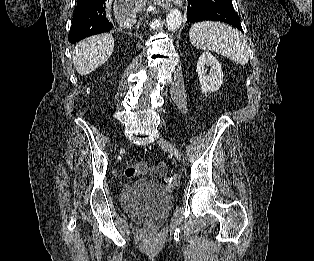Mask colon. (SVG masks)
Returning <instances> with one entry per match:
<instances>
[{
	"mask_svg": "<svg viewBox=\"0 0 314 261\" xmlns=\"http://www.w3.org/2000/svg\"><path fill=\"white\" fill-rule=\"evenodd\" d=\"M167 171V167L163 162L158 163L154 169H152V173L158 177H164ZM151 172V167L145 161H140L137 164L128 166L125 169V176L127 178H134L137 176L146 175Z\"/></svg>",
	"mask_w": 314,
	"mask_h": 261,
	"instance_id": "obj_1",
	"label": "colon"
}]
</instances>
